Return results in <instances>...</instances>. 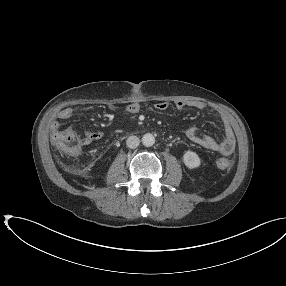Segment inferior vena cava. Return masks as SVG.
Wrapping results in <instances>:
<instances>
[{
	"mask_svg": "<svg viewBox=\"0 0 286 286\" xmlns=\"http://www.w3.org/2000/svg\"><path fill=\"white\" fill-rule=\"evenodd\" d=\"M126 144L129 148L135 149L140 144V139L137 136H130L128 137Z\"/></svg>",
	"mask_w": 286,
	"mask_h": 286,
	"instance_id": "inferior-vena-cava-1",
	"label": "inferior vena cava"
}]
</instances>
